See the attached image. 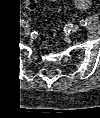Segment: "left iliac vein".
Here are the masks:
<instances>
[{
	"label": "left iliac vein",
	"mask_w": 100,
	"mask_h": 118,
	"mask_svg": "<svg viewBox=\"0 0 100 118\" xmlns=\"http://www.w3.org/2000/svg\"><path fill=\"white\" fill-rule=\"evenodd\" d=\"M78 30H79V26H78V25H74V26L71 28V31H72L73 33H76Z\"/></svg>",
	"instance_id": "1"
}]
</instances>
